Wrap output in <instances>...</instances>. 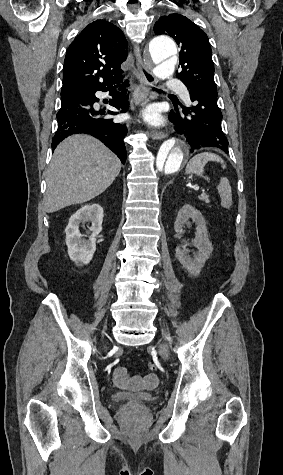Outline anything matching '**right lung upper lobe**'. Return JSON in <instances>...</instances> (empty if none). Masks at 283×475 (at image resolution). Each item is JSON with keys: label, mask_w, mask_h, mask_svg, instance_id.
<instances>
[{"label": "right lung upper lobe", "mask_w": 283, "mask_h": 475, "mask_svg": "<svg viewBox=\"0 0 283 475\" xmlns=\"http://www.w3.org/2000/svg\"><path fill=\"white\" fill-rule=\"evenodd\" d=\"M123 32L106 20L87 25L70 44L64 62L62 89L100 88L123 81L127 58Z\"/></svg>", "instance_id": "right-lung-upper-lobe-1"}]
</instances>
